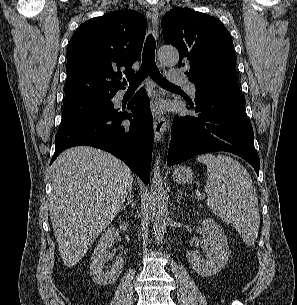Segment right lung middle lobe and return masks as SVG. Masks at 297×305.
I'll return each instance as SVG.
<instances>
[{"label":"right lung middle lobe","mask_w":297,"mask_h":305,"mask_svg":"<svg viewBox=\"0 0 297 305\" xmlns=\"http://www.w3.org/2000/svg\"><path fill=\"white\" fill-rule=\"evenodd\" d=\"M115 93H101L65 102L61 126L90 112L113 107L111 99Z\"/></svg>","instance_id":"right-lung-middle-lobe-1"}]
</instances>
